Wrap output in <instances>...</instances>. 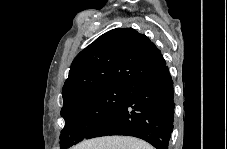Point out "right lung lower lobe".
I'll use <instances>...</instances> for the list:
<instances>
[{"mask_svg": "<svg viewBox=\"0 0 227 149\" xmlns=\"http://www.w3.org/2000/svg\"><path fill=\"white\" fill-rule=\"evenodd\" d=\"M174 107L173 80L165 65L132 86L122 106L87 139L128 135L141 138L156 149H168Z\"/></svg>", "mask_w": 227, "mask_h": 149, "instance_id": "right-lung-lower-lobe-1", "label": "right lung lower lobe"}]
</instances>
